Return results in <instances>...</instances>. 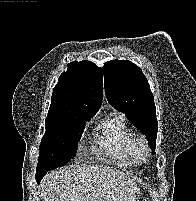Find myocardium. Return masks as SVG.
<instances>
[{
    "mask_svg": "<svg viewBox=\"0 0 196 201\" xmlns=\"http://www.w3.org/2000/svg\"><path fill=\"white\" fill-rule=\"evenodd\" d=\"M150 154V148L146 139L143 136H136L133 138L131 155L134 162L142 164L145 163Z\"/></svg>",
    "mask_w": 196,
    "mask_h": 201,
    "instance_id": "myocardium-1",
    "label": "myocardium"
}]
</instances>
